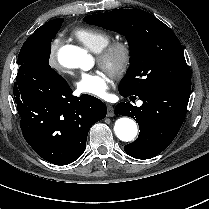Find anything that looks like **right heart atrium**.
<instances>
[{
    "instance_id": "obj_1",
    "label": "right heart atrium",
    "mask_w": 209,
    "mask_h": 209,
    "mask_svg": "<svg viewBox=\"0 0 209 209\" xmlns=\"http://www.w3.org/2000/svg\"><path fill=\"white\" fill-rule=\"evenodd\" d=\"M62 42L60 38H54L50 41L48 46V62L49 65L54 68L58 69V60H57V54L58 50L61 46Z\"/></svg>"
}]
</instances>
